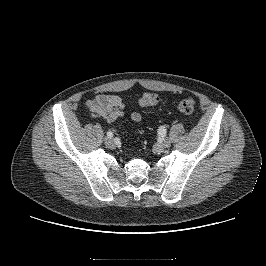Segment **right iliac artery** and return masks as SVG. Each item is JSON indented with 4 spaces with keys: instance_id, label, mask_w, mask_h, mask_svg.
I'll list each match as a JSON object with an SVG mask.
<instances>
[{
    "instance_id": "obj_1",
    "label": "right iliac artery",
    "mask_w": 266,
    "mask_h": 266,
    "mask_svg": "<svg viewBox=\"0 0 266 266\" xmlns=\"http://www.w3.org/2000/svg\"><path fill=\"white\" fill-rule=\"evenodd\" d=\"M107 137L111 139L113 137V133L111 131H108L107 132Z\"/></svg>"
}]
</instances>
